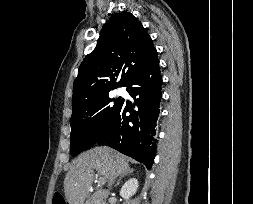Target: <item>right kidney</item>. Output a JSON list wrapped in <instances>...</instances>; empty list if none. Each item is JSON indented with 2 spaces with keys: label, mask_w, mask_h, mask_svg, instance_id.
<instances>
[{
  "label": "right kidney",
  "mask_w": 253,
  "mask_h": 204,
  "mask_svg": "<svg viewBox=\"0 0 253 204\" xmlns=\"http://www.w3.org/2000/svg\"><path fill=\"white\" fill-rule=\"evenodd\" d=\"M138 180L136 178H131L125 182L120 190V195L125 200H128L131 196H133L138 189Z\"/></svg>",
  "instance_id": "1"
}]
</instances>
